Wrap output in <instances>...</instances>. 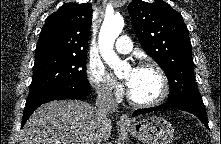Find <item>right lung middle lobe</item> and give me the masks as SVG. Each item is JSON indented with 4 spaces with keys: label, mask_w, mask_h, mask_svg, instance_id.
Segmentation results:
<instances>
[{
    "label": "right lung middle lobe",
    "mask_w": 221,
    "mask_h": 144,
    "mask_svg": "<svg viewBox=\"0 0 221 144\" xmlns=\"http://www.w3.org/2000/svg\"><path fill=\"white\" fill-rule=\"evenodd\" d=\"M85 66L86 54H35L27 101L59 86L90 87Z\"/></svg>",
    "instance_id": "1"
}]
</instances>
